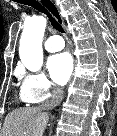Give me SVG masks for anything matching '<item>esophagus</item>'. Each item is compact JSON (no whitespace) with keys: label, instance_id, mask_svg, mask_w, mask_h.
Masks as SVG:
<instances>
[{"label":"esophagus","instance_id":"34e87169","mask_svg":"<svg viewBox=\"0 0 117 136\" xmlns=\"http://www.w3.org/2000/svg\"><path fill=\"white\" fill-rule=\"evenodd\" d=\"M40 2L59 23L64 24L60 10L53 0H40Z\"/></svg>","mask_w":117,"mask_h":136}]
</instances>
